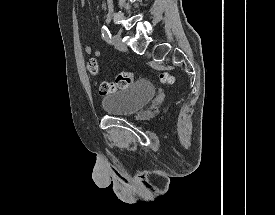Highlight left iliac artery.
I'll list each match as a JSON object with an SVG mask.
<instances>
[{"instance_id":"obj_1","label":"left iliac artery","mask_w":275,"mask_h":215,"mask_svg":"<svg viewBox=\"0 0 275 215\" xmlns=\"http://www.w3.org/2000/svg\"><path fill=\"white\" fill-rule=\"evenodd\" d=\"M101 32H102L103 38L108 43H111V33H110V31L108 30V28L105 25L102 26Z\"/></svg>"}]
</instances>
